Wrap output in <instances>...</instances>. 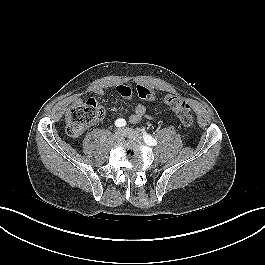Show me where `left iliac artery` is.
Listing matches in <instances>:
<instances>
[{"mask_svg": "<svg viewBox=\"0 0 265 265\" xmlns=\"http://www.w3.org/2000/svg\"><path fill=\"white\" fill-rule=\"evenodd\" d=\"M143 138H144V142L149 145V146H156L157 145V141L150 135L146 134L145 132H143Z\"/></svg>", "mask_w": 265, "mask_h": 265, "instance_id": "44dca946", "label": "left iliac artery"}]
</instances>
